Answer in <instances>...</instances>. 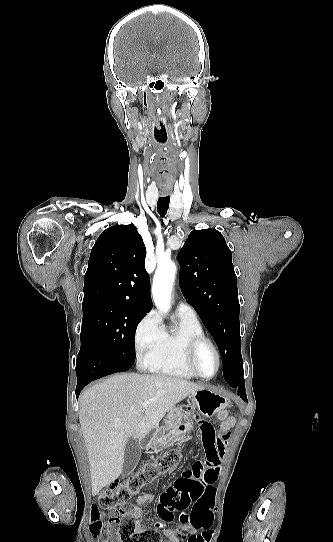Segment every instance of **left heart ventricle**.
Segmentation results:
<instances>
[{
  "mask_svg": "<svg viewBox=\"0 0 333 542\" xmlns=\"http://www.w3.org/2000/svg\"><path fill=\"white\" fill-rule=\"evenodd\" d=\"M195 365L199 373L211 376L216 370V359L208 345H203L195 357Z\"/></svg>",
  "mask_w": 333,
  "mask_h": 542,
  "instance_id": "b2bd125f",
  "label": "left heart ventricle"
}]
</instances>
